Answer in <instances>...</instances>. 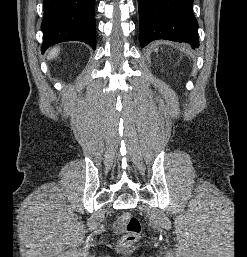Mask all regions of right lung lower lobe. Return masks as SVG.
I'll return each instance as SVG.
<instances>
[{"mask_svg": "<svg viewBox=\"0 0 247 257\" xmlns=\"http://www.w3.org/2000/svg\"><path fill=\"white\" fill-rule=\"evenodd\" d=\"M44 51L59 42L82 41L96 49L95 0H43Z\"/></svg>", "mask_w": 247, "mask_h": 257, "instance_id": "98d812e1", "label": "right lung lower lobe"}]
</instances>
